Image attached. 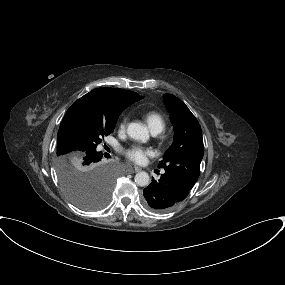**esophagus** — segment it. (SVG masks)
<instances>
[{
    "mask_svg": "<svg viewBox=\"0 0 285 285\" xmlns=\"http://www.w3.org/2000/svg\"><path fill=\"white\" fill-rule=\"evenodd\" d=\"M141 170H142V169H141L140 167H136V166L134 167V171H135V172H139V171H141Z\"/></svg>",
    "mask_w": 285,
    "mask_h": 285,
    "instance_id": "obj_1",
    "label": "esophagus"
}]
</instances>
